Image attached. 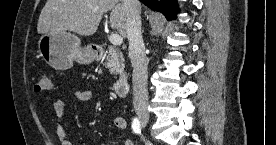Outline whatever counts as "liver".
I'll return each instance as SVG.
<instances>
[{
	"instance_id": "6515ba94",
	"label": "liver",
	"mask_w": 276,
	"mask_h": 145,
	"mask_svg": "<svg viewBox=\"0 0 276 145\" xmlns=\"http://www.w3.org/2000/svg\"><path fill=\"white\" fill-rule=\"evenodd\" d=\"M107 11L110 27L125 37L127 11L122 0H47L39 16V34L72 31L82 36L93 35Z\"/></svg>"
}]
</instances>
